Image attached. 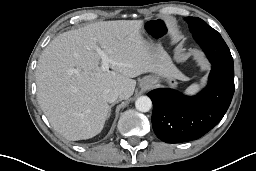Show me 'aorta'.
I'll use <instances>...</instances> for the list:
<instances>
[{"instance_id":"762f6f07","label":"aorta","mask_w":256,"mask_h":171,"mask_svg":"<svg viewBox=\"0 0 256 171\" xmlns=\"http://www.w3.org/2000/svg\"><path fill=\"white\" fill-rule=\"evenodd\" d=\"M135 107L140 112H148L152 107V101L147 96H141L135 101Z\"/></svg>"}]
</instances>
